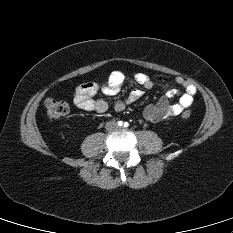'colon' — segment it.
Returning <instances> with one entry per match:
<instances>
[{"instance_id": "colon-1", "label": "colon", "mask_w": 233, "mask_h": 233, "mask_svg": "<svg viewBox=\"0 0 233 233\" xmlns=\"http://www.w3.org/2000/svg\"><path fill=\"white\" fill-rule=\"evenodd\" d=\"M44 108L47 116L51 120L59 119L69 112V104L63 100H57L55 98H47L44 101ZM181 116L184 119H188L191 117V112L189 110L184 111Z\"/></svg>"}]
</instances>
